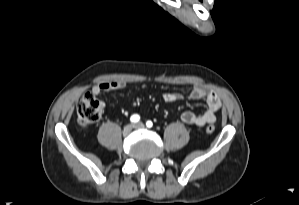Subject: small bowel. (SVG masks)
<instances>
[{
    "label": "small bowel",
    "instance_id": "1",
    "mask_svg": "<svg viewBox=\"0 0 299 205\" xmlns=\"http://www.w3.org/2000/svg\"><path fill=\"white\" fill-rule=\"evenodd\" d=\"M124 87V83L120 81H104L92 87V94L99 95L102 92L118 90ZM182 98L178 92H168L163 95V100L167 103H173ZM190 98L194 100H205L206 110L197 114L192 111H185L181 115V119L185 124L202 127L216 121V116L221 108V100L217 93L207 89L201 84L194 85Z\"/></svg>",
    "mask_w": 299,
    "mask_h": 205
}]
</instances>
